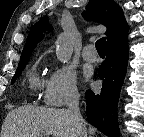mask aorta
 Returning a JSON list of instances; mask_svg holds the SVG:
<instances>
[{"mask_svg": "<svg viewBox=\"0 0 144 137\" xmlns=\"http://www.w3.org/2000/svg\"><path fill=\"white\" fill-rule=\"evenodd\" d=\"M56 56L60 62L66 63L70 60L73 52L72 40L68 35L60 36L56 42Z\"/></svg>", "mask_w": 144, "mask_h": 137, "instance_id": "762f6f07", "label": "aorta"}]
</instances>
